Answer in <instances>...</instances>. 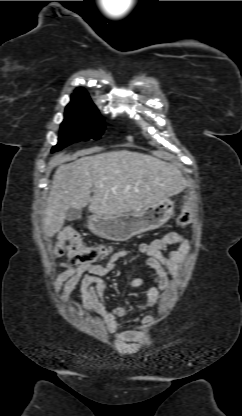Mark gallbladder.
<instances>
[{
  "mask_svg": "<svg viewBox=\"0 0 242 416\" xmlns=\"http://www.w3.org/2000/svg\"><path fill=\"white\" fill-rule=\"evenodd\" d=\"M82 210L77 208H69L66 212V220L74 221L81 217Z\"/></svg>",
  "mask_w": 242,
  "mask_h": 416,
  "instance_id": "obj_1",
  "label": "gallbladder"
}]
</instances>
